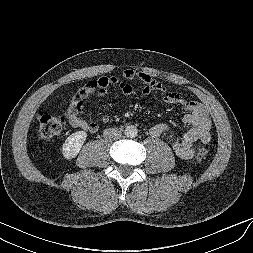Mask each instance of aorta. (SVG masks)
<instances>
[{"mask_svg": "<svg viewBox=\"0 0 253 253\" xmlns=\"http://www.w3.org/2000/svg\"><path fill=\"white\" fill-rule=\"evenodd\" d=\"M125 136L128 138H135L138 133V129L134 125H129L125 127Z\"/></svg>", "mask_w": 253, "mask_h": 253, "instance_id": "obj_1", "label": "aorta"}]
</instances>
